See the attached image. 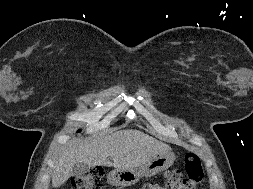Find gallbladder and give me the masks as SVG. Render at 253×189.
Returning a JSON list of instances; mask_svg holds the SVG:
<instances>
[{
	"instance_id": "bac80fb5",
	"label": "gallbladder",
	"mask_w": 253,
	"mask_h": 189,
	"mask_svg": "<svg viewBox=\"0 0 253 189\" xmlns=\"http://www.w3.org/2000/svg\"><path fill=\"white\" fill-rule=\"evenodd\" d=\"M89 166L84 163H76L72 170V176H80L89 170Z\"/></svg>"
}]
</instances>
